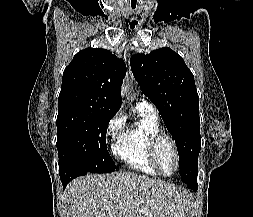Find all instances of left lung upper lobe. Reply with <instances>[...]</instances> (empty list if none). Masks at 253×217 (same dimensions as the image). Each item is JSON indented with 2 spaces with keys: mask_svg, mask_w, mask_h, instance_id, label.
I'll return each mask as SVG.
<instances>
[{
  "mask_svg": "<svg viewBox=\"0 0 253 217\" xmlns=\"http://www.w3.org/2000/svg\"><path fill=\"white\" fill-rule=\"evenodd\" d=\"M130 65L142 92L158 108L176 142L181 180L190 188L197 184L201 143L194 76L183 58L170 48L133 55Z\"/></svg>",
  "mask_w": 253,
  "mask_h": 217,
  "instance_id": "left-lung-upper-lobe-1",
  "label": "left lung upper lobe"
}]
</instances>
